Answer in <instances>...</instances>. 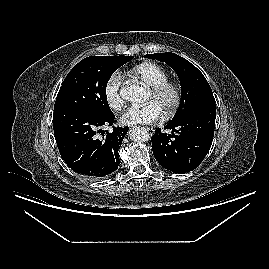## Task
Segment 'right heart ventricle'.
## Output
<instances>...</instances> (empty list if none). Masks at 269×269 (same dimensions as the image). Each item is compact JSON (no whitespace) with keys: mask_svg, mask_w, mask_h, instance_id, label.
Listing matches in <instances>:
<instances>
[{"mask_svg":"<svg viewBox=\"0 0 269 269\" xmlns=\"http://www.w3.org/2000/svg\"><path fill=\"white\" fill-rule=\"evenodd\" d=\"M131 74L149 87L169 78V74L165 68L149 61L134 66L131 69Z\"/></svg>","mask_w":269,"mask_h":269,"instance_id":"right-heart-ventricle-1","label":"right heart ventricle"}]
</instances>
